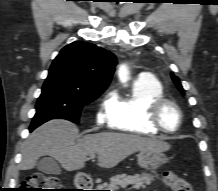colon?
<instances>
[{"mask_svg":"<svg viewBox=\"0 0 218 191\" xmlns=\"http://www.w3.org/2000/svg\"><path fill=\"white\" fill-rule=\"evenodd\" d=\"M163 182L173 191H194L191 183L171 170L163 172ZM21 191H65L61 179L41 173L30 176L23 182Z\"/></svg>","mask_w":218,"mask_h":191,"instance_id":"obj_1","label":"colon"}]
</instances>
